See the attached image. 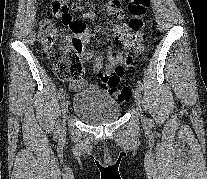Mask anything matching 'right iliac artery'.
I'll return each instance as SVG.
<instances>
[{"label": "right iliac artery", "instance_id": "1", "mask_svg": "<svg viewBox=\"0 0 207 179\" xmlns=\"http://www.w3.org/2000/svg\"><path fill=\"white\" fill-rule=\"evenodd\" d=\"M64 96V90L63 89H60L59 92H58V98L59 99H62Z\"/></svg>", "mask_w": 207, "mask_h": 179}]
</instances>
